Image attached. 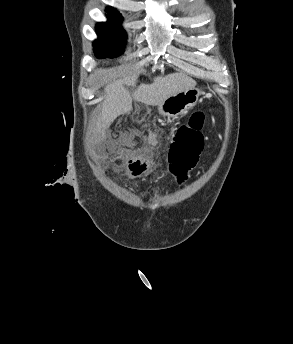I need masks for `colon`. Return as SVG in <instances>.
<instances>
[{
  "mask_svg": "<svg viewBox=\"0 0 293 344\" xmlns=\"http://www.w3.org/2000/svg\"><path fill=\"white\" fill-rule=\"evenodd\" d=\"M206 115L202 111L194 112L188 121L176 131L171 144V164L179 181L187 178V172L193 168L203 150L202 129ZM129 172L134 179H142L151 167L150 154L136 151L127 158Z\"/></svg>",
  "mask_w": 293,
  "mask_h": 344,
  "instance_id": "obj_1",
  "label": "colon"
}]
</instances>
